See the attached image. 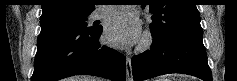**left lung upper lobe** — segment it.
<instances>
[{"mask_svg": "<svg viewBox=\"0 0 237 81\" xmlns=\"http://www.w3.org/2000/svg\"><path fill=\"white\" fill-rule=\"evenodd\" d=\"M195 0H151L150 30L154 40L177 31L202 30Z\"/></svg>", "mask_w": 237, "mask_h": 81, "instance_id": "1", "label": "left lung upper lobe"}]
</instances>
